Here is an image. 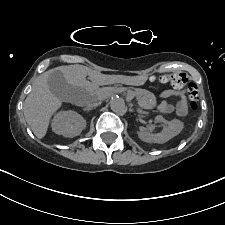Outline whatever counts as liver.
Masks as SVG:
<instances>
[{
    "label": "liver",
    "mask_w": 225,
    "mask_h": 225,
    "mask_svg": "<svg viewBox=\"0 0 225 225\" xmlns=\"http://www.w3.org/2000/svg\"><path fill=\"white\" fill-rule=\"evenodd\" d=\"M55 70L62 72L67 82L73 86L88 89L90 86L113 84L117 80L126 82L124 77L104 75L83 65H66L50 69L41 74L33 83L32 91L24 102V116L35 136L43 138L48 130L52 115L61 107V100L50 91L49 74ZM92 83L86 80V77Z\"/></svg>",
    "instance_id": "liver-1"
}]
</instances>
